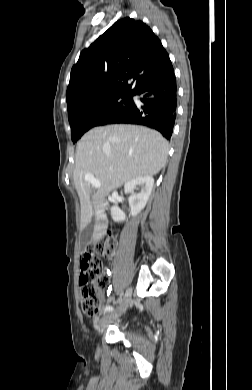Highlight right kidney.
<instances>
[{
    "label": "right kidney",
    "mask_w": 252,
    "mask_h": 390,
    "mask_svg": "<svg viewBox=\"0 0 252 390\" xmlns=\"http://www.w3.org/2000/svg\"><path fill=\"white\" fill-rule=\"evenodd\" d=\"M153 184L154 179L152 176L138 177L125 183L124 192L131 194L128 201L132 216H136L146 206ZM137 186L140 187L141 191L136 194L134 193V189ZM111 216L115 222H122L126 219L125 213L118 207V205H113L111 207Z\"/></svg>",
    "instance_id": "obj_1"
}]
</instances>
